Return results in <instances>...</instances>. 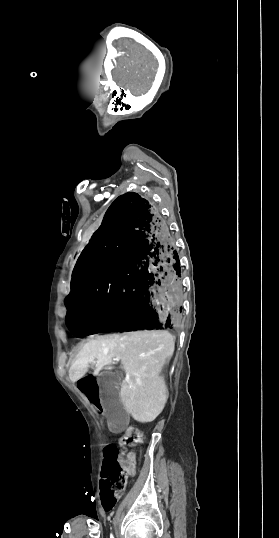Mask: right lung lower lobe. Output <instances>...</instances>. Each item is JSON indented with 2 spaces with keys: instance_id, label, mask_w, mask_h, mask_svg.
I'll return each instance as SVG.
<instances>
[{
  "instance_id": "obj_1",
  "label": "right lung lower lobe",
  "mask_w": 279,
  "mask_h": 538,
  "mask_svg": "<svg viewBox=\"0 0 279 538\" xmlns=\"http://www.w3.org/2000/svg\"><path fill=\"white\" fill-rule=\"evenodd\" d=\"M182 279L168 225L137 193L119 196L80 255L65 299L78 336L163 330L181 321Z\"/></svg>"
}]
</instances>
